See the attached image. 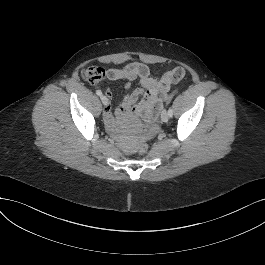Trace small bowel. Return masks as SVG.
<instances>
[{
	"instance_id": "obj_1",
	"label": "small bowel",
	"mask_w": 265,
	"mask_h": 265,
	"mask_svg": "<svg viewBox=\"0 0 265 265\" xmlns=\"http://www.w3.org/2000/svg\"><path fill=\"white\" fill-rule=\"evenodd\" d=\"M184 75L185 70L182 67H175L162 73L159 78H154L149 67L142 62H131L121 67L104 69L103 79L126 80L127 87L131 81L139 80L141 85V88L125 96L114 113L109 104L112 94L109 89L105 91L108 104L104 109L103 118L107 128L114 132L128 121H134L139 117L153 119L162 109L171 86L179 82Z\"/></svg>"
}]
</instances>
